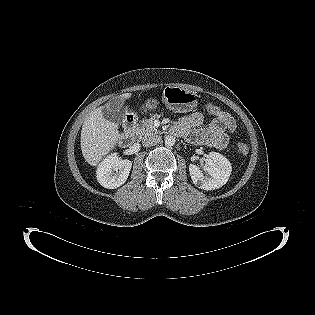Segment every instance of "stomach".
<instances>
[{
	"instance_id": "0dacf381",
	"label": "stomach",
	"mask_w": 315,
	"mask_h": 315,
	"mask_svg": "<svg viewBox=\"0 0 315 315\" xmlns=\"http://www.w3.org/2000/svg\"><path fill=\"white\" fill-rule=\"evenodd\" d=\"M162 101L170 110L179 113L194 110L198 102L194 92L177 86L165 87Z\"/></svg>"
}]
</instances>
